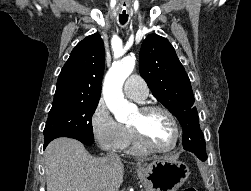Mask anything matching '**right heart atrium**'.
<instances>
[{
  "instance_id": "1",
  "label": "right heart atrium",
  "mask_w": 251,
  "mask_h": 191,
  "mask_svg": "<svg viewBox=\"0 0 251 191\" xmlns=\"http://www.w3.org/2000/svg\"><path fill=\"white\" fill-rule=\"evenodd\" d=\"M89 126L95 143L102 150L123 149L128 140L129 127L120 124L102 102L92 111Z\"/></svg>"
}]
</instances>
